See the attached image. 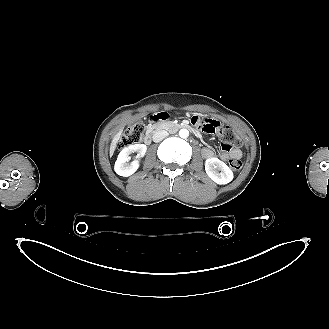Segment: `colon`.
Segmentation results:
<instances>
[{"label": "colon", "mask_w": 329, "mask_h": 329, "mask_svg": "<svg viewBox=\"0 0 329 329\" xmlns=\"http://www.w3.org/2000/svg\"><path fill=\"white\" fill-rule=\"evenodd\" d=\"M162 115L168 117V113L166 112H163ZM143 132L144 126L142 124H136L134 126L128 127L123 132L117 144V149L122 150L139 143L142 139ZM211 134H218L221 137L223 149L230 150L232 147L240 145L239 137L230 127H220V130ZM229 166L232 170L238 171L242 168V160L239 157H231L229 160Z\"/></svg>", "instance_id": "5ec220e1"}]
</instances>
